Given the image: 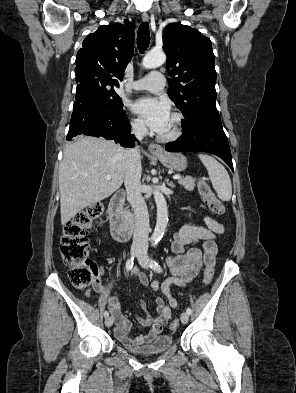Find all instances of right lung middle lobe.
<instances>
[{
    "instance_id": "1",
    "label": "right lung middle lobe",
    "mask_w": 296,
    "mask_h": 393,
    "mask_svg": "<svg viewBox=\"0 0 296 393\" xmlns=\"http://www.w3.org/2000/svg\"><path fill=\"white\" fill-rule=\"evenodd\" d=\"M78 85L91 90L105 105L115 112L123 111V103L115 92V86L94 77H85L76 80Z\"/></svg>"
}]
</instances>
